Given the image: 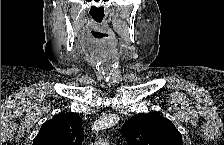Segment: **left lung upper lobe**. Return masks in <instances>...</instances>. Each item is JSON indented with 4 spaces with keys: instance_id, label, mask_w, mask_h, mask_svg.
Wrapping results in <instances>:
<instances>
[{
    "instance_id": "1",
    "label": "left lung upper lobe",
    "mask_w": 224,
    "mask_h": 145,
    "mask_svg": "<svg viewBox=\"0 0 224 145\" xmlns=\"http://www.w3.org/2000/svg\"><path fill=\"white\" fill-rule=\"evenodd\" d=\"M128 145H182L173 123L158 113L136 114L121 127Z\"/></svg>"
}]
</instances>
